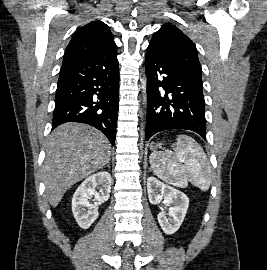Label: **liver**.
Returning <instances> with one entry per match:
<instances>
[{
	"mask_svg": "<svg viewBox=\"0 0 267 270\" xmlns=\"http://www.w3.org/2000/svg\"><path fill=\"white\" fill-rule=\"evenodd\" d=\"M111 144L99 130L80 123L56 128L46 146L43 164L45 194L56 207L74 184L110 162Z\"/></svg>",
	"mask_w": 267,
	"mask_h": 270,
	"instance_id": "obj_1",
	"label": "liver"
}]
</instances>
